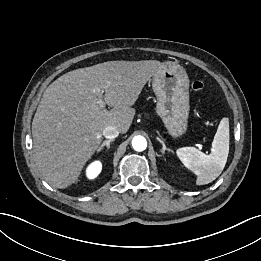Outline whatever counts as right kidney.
<instances>
[{"label":"right kidney","instance_id":"right-kidney-1","mask_svg":"<svg viewBox=\"0 0 261 261\" xmlns=\"http://www.w3.org/2000/svg\"><path fill=\"white\" fill-rule=\"evenodd\" d=\"M101 169H102L101 162L95 161L88 166V168L86 170V175L89 179H94L99 175V173L101 172Z\"/></svg>","mask_w":261,"mask_h":261}]
</instances>
